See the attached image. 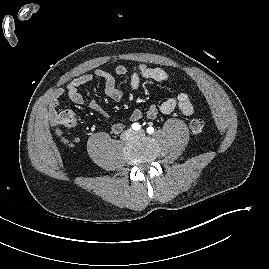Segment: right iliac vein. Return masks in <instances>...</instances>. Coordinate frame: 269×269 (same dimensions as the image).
Segmentation results:
<instances>
[{"label": "right iliac vein", "instance_id": "1", "mask_svg": "<svg viewBox=\"0 0 269 269\" xmlns=\"http://www.w3.org/2000/svg\"><path fill=\"white\" fill-rule=\"evenodd\" d=\"M134 136V133L131 130H127L121 135V139L126 141L132 139Z\"/></svg>", "mask_w": 269, "mask_h": 269}]
</instances>
